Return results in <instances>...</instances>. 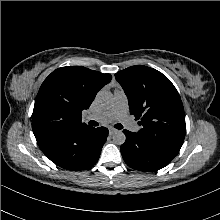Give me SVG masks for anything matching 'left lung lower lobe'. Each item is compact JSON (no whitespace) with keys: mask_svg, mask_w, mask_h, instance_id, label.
<instances>
[{"mask_svg":"<svg viewBox=\"0 0 220 220\" xmlns=\"http://www.w3.org/2000/svg\"><path fill=\"white\" fill-rule=\"evenodd\" d=\"M126 141L121 145V154L126 164L141 171H156L167 166L176 154L148 141L136 133L123 131Z\"/></svg>","mask_w":220,"mask_h":220,"instance_id":"0a47b994","label":"left lung lower lobe"}]
</instances>
